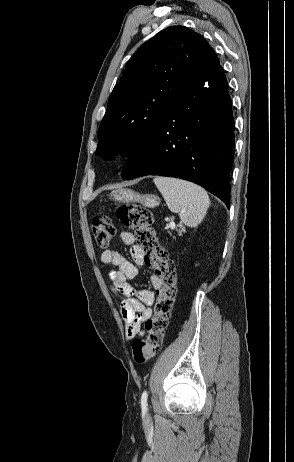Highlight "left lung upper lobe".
<instances>
[{"instance_id":"obj_1","label":"left lung upper lobe","mask_w":294,"mask_h":462,"mask_svg":"<svg viewBox=\"0 0 294 462\" xmlns=\"http://www.w3.org/2000/svg\"><path fill=\"white\" fill-rule=\"evenodd\" d=\"M219 65L209 43L184 26H170L130 58L98 129L97 152L130 157L154 132L178 95Z\"/></svg>"}]
</instances>
